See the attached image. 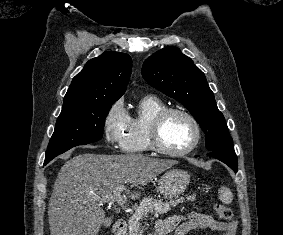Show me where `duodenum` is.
Instances as JSON below:
<instances>
[{"label":"duodenum","mask_w":283,"mask_h":235,"mask_svg":"<svg viewBox=\"0 0 283 235\" xmlns=\"http://www.w3.org/2000/svg\"><path fill=\"white\" fill-rule=\"evenodd\" d=\"M125 227H126L125 220H116L114 225H113V233H114V235L121 234Z\"/></svg>","instance_id":"duodenum-1"}]
</instances>
